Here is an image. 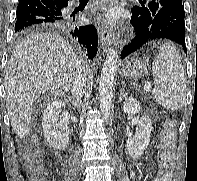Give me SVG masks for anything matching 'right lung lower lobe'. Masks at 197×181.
I'll return each mask as SVG.
<instances>
[{"label":"right lung lower lobe","mask_w":197,"mask_h":181,"mask_svg":"<svg viewBox=\"0 0 197 181\" xmlns=\"http://www.w3.org/2000/svg\"><path fill=\"white\" fill-rule=\"evenodd\" d=\"M69 0H19L15 31L29 26H47L69 32L89 58L97 53V30L93 25L79 26L64 16Z\"/></svg>","instance_id":"obj_1"}]
</instances>
